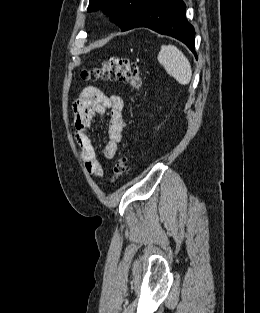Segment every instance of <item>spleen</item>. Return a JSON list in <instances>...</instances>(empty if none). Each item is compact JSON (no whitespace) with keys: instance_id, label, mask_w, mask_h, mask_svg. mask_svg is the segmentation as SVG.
I'll return each mask as SVG.
<instances>
[{"instance_id":"3e777b00","label":"spleen","mask_w":260,"mask_h":313,"mask_svg":"<svg viewBox=\"0 0 260 313\" xmlns=\"http://www.w3.org/2000/svg\"><path fill=\"white\" fill-rule=\"evenodd\" d=\"M158 61L166 72L181 85L191 81L192 69L186 56L174 45H162L158 53Z\"/></svg>"}]
</instances>
